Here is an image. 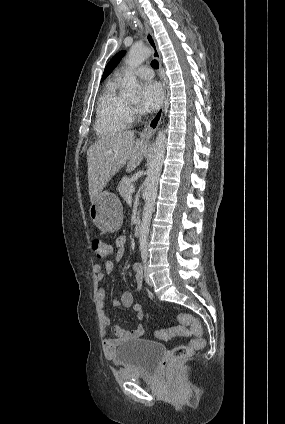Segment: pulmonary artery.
Returning a JSON list of instances; mask_svg holds the SVG:
<instances>
[{
	"label": "pulmonary artery",
	"instance_id": "e3ab8cb5",
	"mask_svg": "<svg viewBox=\"0 0 285 424\" xmlns=\"http://www.w3.org/2000/svg\"><path fill=\"white\" fill-rule=\"evenodd\" d=\"M128 72V69H122L118 72L119 75H124ZM136 75L142 79H151L153 77V70L147 66H141L135 70Z\"/></svg>",
	"mask_w": 285,
	"mask_h": 424
}]
</instances>
